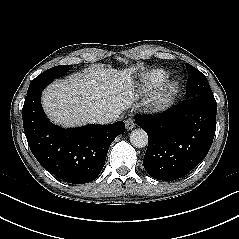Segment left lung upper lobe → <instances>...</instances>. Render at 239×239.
Listing matches in <instances>:
<instances>
[{
    "instance_id": "left-lung-upper-lobe-1",
    "label": "left lung upper lobe",
    "mask_w": 239,
    "mask_h": 239,
    "mask_svg": "<svg viewBox=\"0 0 239 239\" xmlns=\"http://www.w3.org/2000/svg\"><path fill=\"white\" fill-rule=\"evenodd\" d=\"M186 69L189 73L187 82L188 97L191 98L195 96H213L206 76L188 63H186Z\"/></svg>"
}]
</instances>
